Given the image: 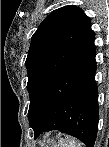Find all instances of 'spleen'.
<instances>
[{
    "label": "spleen",
    "mask_w": 109,
    "mask_h": 147,
    "mask_svg": "<svg viewBox=\"0 0 109 147\" xmlns=\"http://www.w3.org/2000/svg\"><path fill=\"white\" fill-rule=\"evenodd\" d=\"M60 146H63V147H83L84 144L73 137L66 136L64 139L62 138Z\"/></svg>",
    "instance_id": "spleen-1"
}]
</instances>
